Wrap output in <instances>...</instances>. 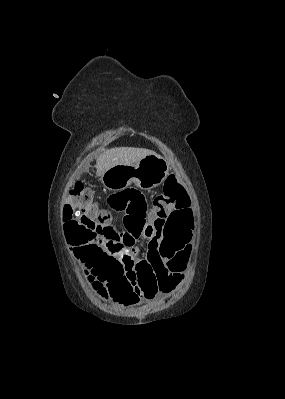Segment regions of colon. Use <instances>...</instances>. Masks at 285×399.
Returning <instances> with one entry per match:
<instances>
[{
  "label": "colon",
  "instance_id": "colon-1",
  "mask_svg": "<svg viewBox=\"0 0 285 399\" xmlns=\"http://www.w3.org/2000/svg\"><path fill=\"white\" fill-rule=\"evenodd\" d=\"M184 189L173 178L163 183L162 193L154 197L153 205L164 220L157 224L164 242L151 249L147 257L139 258L135 244L143 236L147 223L143 195L136 190H125L107 197L100 206L90 187L82 182L70 187L62 209L64 232L77 249L82 262L78 270L91 291L106 288L117 300L130 305L137 303L142 295L148 298L156 295L163 279L186 268L183 248L188 238L185 234L172 233L173 227L186 223L191 216L180 199ZM108 208L122 212V220L116 221ZM108 259L117 263L119 271L124 265L132 268L131 280L119 282L117 274L104 271L103 263Z\"/></svg>",
  "mask_w": 285,
  "mask_h": 399
}]
</instances>
